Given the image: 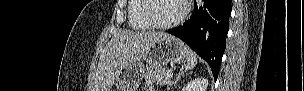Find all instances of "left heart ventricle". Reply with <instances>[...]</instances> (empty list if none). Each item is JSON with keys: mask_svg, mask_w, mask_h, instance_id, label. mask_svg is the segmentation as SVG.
I'll list each match as a JSON object with an SVG mask.
<instances>
[{"mask_svg": "<svg viewBox=\"0 0 304 91\" xmlns=\"http://www.w3.org/2000/svg\"><path fill=\"white\" fill-rule=\"evenodd\" d=\"M182 12L180 0H153L151 1L150 15L157 23H169L175 20Z\"/></svg>", "mask_w": 304, "mask_h": 91, "instance_id": "obj_1", "label": "left heart ventricle"}]
</instances>
